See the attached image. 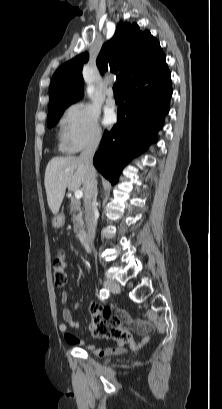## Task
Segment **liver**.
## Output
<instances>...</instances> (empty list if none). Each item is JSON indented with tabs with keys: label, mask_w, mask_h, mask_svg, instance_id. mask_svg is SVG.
<instances>
[{
	"label": "liver",
	"mask_w": 222,
	"mask_h": 409,
	"mask_svg": "<svg viewBox=\"0 0 222 409\" xmlns=\"http://www.w3.org/2000/svg\"><path fill=\"white\" fill-rule=\"evenodd\" d=\"M85 167L79 157H54L45 170V190L53 214L59 212L66 188L78 190L85 179Z\"/></svg>",
	"instance_id": "6515ba94"
}]
</instances>
